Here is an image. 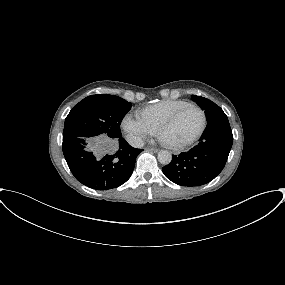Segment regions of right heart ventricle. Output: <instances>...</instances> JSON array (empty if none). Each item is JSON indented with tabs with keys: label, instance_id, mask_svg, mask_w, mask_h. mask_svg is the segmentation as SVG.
I'll return each mask as SVG.
<instances>
[{
	"label": "right heart ventricle",
	"instance_id": "obj_1",
	"mask_svg": "<svg viewBox=\"0 0 285 285\" xmlns=\"http://www.w3.org/2000/svg\"><path fill=\"white\" fill-rule=\"evenodd\" d=\"M186 104L188 102L184 100H163L144 108L139 112V116L156 130L162 122Z\"/></svg>",
	"mask_w": 285,
	"mask_h": 285
}]
</instances>
